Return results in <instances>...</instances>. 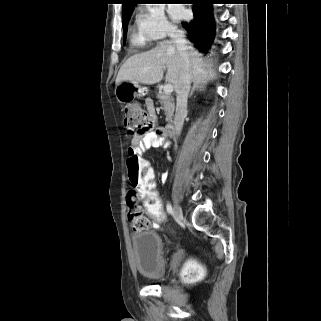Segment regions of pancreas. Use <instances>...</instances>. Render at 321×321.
Listing matches in <instances>:
<instances>
[{"mask_svg": "<svg viewBox=\"0 0 321 321\" xmlns=\"http://www.w3.org/2000/svg\"><path fill=\"white\" fill-rule=\"evenodd\" d=\"M157 98L159 99L160 104L163 105V109L166 115V121L171 122L175 109L173 99L168 94L162 92H159L157 94Z\"/></svg>", "mask_w": 321, "mask_h": 321, "instance_id": "cf45deb5", "label": "pancreas"}]
</instances>
